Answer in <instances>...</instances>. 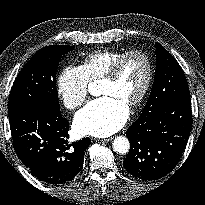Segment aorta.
Wrapping results in <instances>:
<instances>
[{"label": "aorta", "mask_w": 205, "mask_h": 205, "mask_svg": "<svg viewBox=\"0 0 205 205\" xmlns=\"http://www.w3.org/2000/svg\"><path fill=\"white\" fill-rule=\"evenodd\" d=\"M113 149L119 154H126L130 149L129 140L123 136L116 137L113 141Z\"/></svg>", "instance_id": "762f6f07"}]
</instances>
